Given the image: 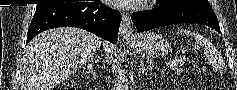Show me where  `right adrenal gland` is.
<instances>
[{
  "instance_id": "right-adrenal-gland-1",
  "label": "right adrenal gland",
  "mask_w": 237,
  "mask_h": 90,
  "mask_svg": "<svg viewBox=\"0 0 237 90\" xmlns=\"http://www.w3.org/2000/svg\"><path fill=\"white\" fill-rule=\"evenodd\" d=\"M87 68H88V72H86V74H91V76H93V80H96L97 76H96V70H94L93 68V60L91 58V60H89L88 64H87Z\"/></svg>"
}]
</instances>
